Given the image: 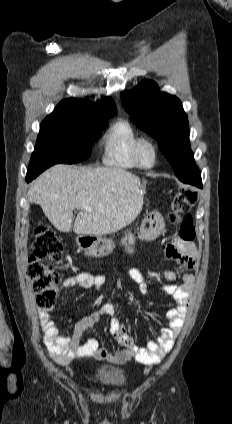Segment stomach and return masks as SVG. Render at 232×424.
I'll return each mask as SVG.
<instances>
[{
	"label": "stomach",
	"instance_id": "0dacf381",
	"mask_svg": "<svg viewBox=\"0 0 232 424\" xmlns=\"http://www.w3.org/2000/svg\"><path fill=\"white\" fill-rule=\"evenodd\" d=\"M165 221L161 215L144 219L140 227L139 237L146 241L155 240L163 232ZM135 242V237L131 233H126L121 243L128 248ZM77 243L82 247L85 253L91 257H104L112 253L115 244L112 239L99 236L80 235L77 237Z\"/></svg>",
	"mask_w": 232,
	"mask_h": 424
}]
</instances>
